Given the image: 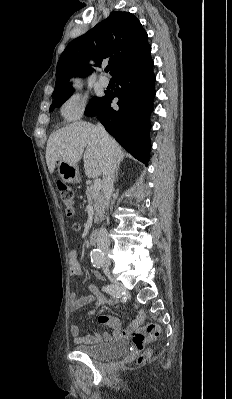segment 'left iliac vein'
Here are the masks:
<instances>
[{
	"mask_svg": "<svg viewBox=\"0 0 232 399\" xmlns=\"http://www.w3.org/2000/svg\"><path fill=\"white\" fill-rule=\"evenodd\" d=\"M102 271L104 272L105 275H108L110 272V269L108 268V266H105L102 268Z\"/></svg>",
	"mask_w": 232,
	"mask_h": 399,
	"instance_id": "1",
	"label": "left iliac vein"
}]
</instances>
